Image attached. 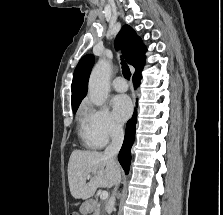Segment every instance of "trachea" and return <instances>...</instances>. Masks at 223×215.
<instances>
[{"mask_svg": "<svg viewBox=\"0 0 223 215\" xmlns=\"http://www.w3.org/2000/svg\"><path fill=\"white\" fill-rule=\"evenodd\" d=\"M121 65H122V73L124 77L127 78V80H129L131 77V72L129 70L128 65L125 63L123 59H121Z\"/></svg>", "mask_w": 223, "mask_h": 215, "instance_id": "trachea-1", "label": "trachea"}]
</instances>
